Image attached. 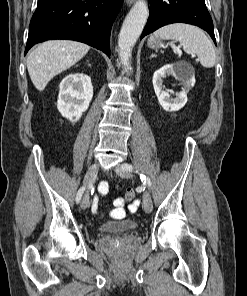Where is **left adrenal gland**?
Here are the masks:
<instances>
[{"instance_id": "left-adrenal-gland-1", "label": "left adrenal gland", "mask_w": 247, "mask_h": 296, "mask_svg": "<svg viewBox=\"0 0 247 296\" xmlns=\"http://www.w3.org/2000/svg\"><path fill=\"white\" fill-rule=\"evenodd\" d=\"M153 57H157V56H156L155 54H152V55L150 56V59L153 58Z\"/></svg>"}]
</instances>
